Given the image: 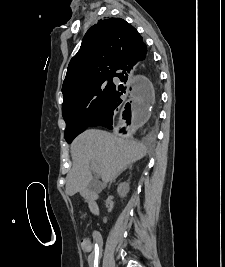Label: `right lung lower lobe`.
<instances>
[{
	"mask_svg": "<svg viewBox=\"0 0 225 267\" xmlns=\"http://www.w3.org/2000/svg\"><path fill=\"white\" fill-rule=\"evenodd\" d=\"M138 65L142 66L149 74L151 79L157 80V75L154 67L152 66L151 59L147 56V48L144 42L137 44L131 48L123 57L117 73L114 76L120 78L121 81L126 83L132 78L134 68ZM147 83L151 85V80L146 79ZM131 89V88H130ZM125 93V90L121 86H116L111 99L106 107L96 117V119L90 124L89 127L103 126L108 129H113V114L114 111L122 104L123 100L121 96Z\"/></svg>",
	"mask_w": 225,
	"mask_h": 267,
	"instance_id": "98d812e1",
	"label": "right lung lower lobe"
}]
</instances>
